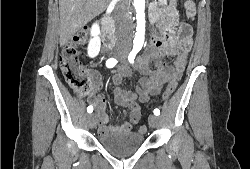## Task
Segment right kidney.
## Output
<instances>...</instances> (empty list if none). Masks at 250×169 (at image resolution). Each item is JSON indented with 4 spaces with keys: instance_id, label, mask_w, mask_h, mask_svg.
Returning <instances> with one entry per match:
<instances>
[{
    "instance_id": "right-kidney-1",
    "label": "right kidney",
    "mask_w": 250,
    "mask_h": 169,
    "mask_svg": "<svg viewBox=\"0 0 250 169\" xmlns=\"http://www.w3.org/2000/svg\"><path fill=\"white\" fill-rule=\"evenodd\" d=\"M90 34L93 36V38H90L87 52L88 56H91V58H94V56H97L99 54L101 42H100V26L97 24V22H94L90 28Z\"/></svg>"
}]
</instances>
